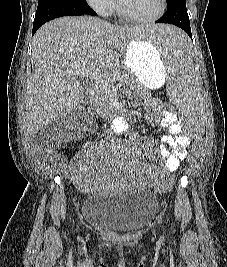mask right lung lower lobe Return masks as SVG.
Instances as JSON below:
<instances>
[{
    "mask_svg": "<svg viewBox=\"0 0 227 267\" xmlns=\"http://www.w3.org/2000/svg\"><path fill=\"white\" fill-rule=\"evenodd\" d=\"M84 14L96 15L89 7L86 0L77 3L57 0H39L33 23L32 35H34L40 26L54 18Z\"/></svg>",
    "mask_w": 227,
    "mask_h": 267,
    "instance_id": "98d812e1",
    "label": "right lung lower lobe"
}]
</instances>
